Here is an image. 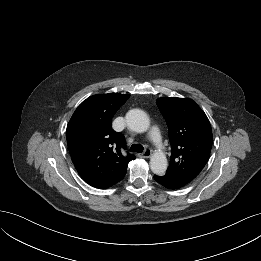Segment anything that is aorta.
Returning a JSON list of instances; mask_svg holds the SVG:
<instances>
[{
  "label": "aorta",
  "instance_id": "obj_1",
  "mask_svg": "<svg viewBox=\"0 0 261 261\" xmlns=\"http://www.w3.org/2000/svg\"><path fill=\"white\" fill-rule=\"evenodd\" d=\"M125 119L128 128L138 133L146 132L150 126L148 115L140 109L129 110ZM167 165V158L162 152H156L150 158V167L154 174L163 175Z\"/></svg>",
  "mask_w": 261,
  "mask_h": 261
}]
</instances>
